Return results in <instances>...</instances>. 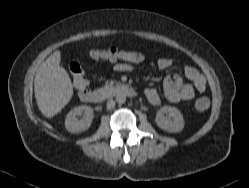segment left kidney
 <instances>
[{
	"label": "left kidney",
	"instance_id": "1",
	"mask_svg": "<svg viewBox=\"0 0 249 188\" xmlns=\"http://www.w3.org/2000/svg\"><path fill=\"white\" fill-rule=\"evenodd\" d=\"M166 114H169L172 117V120L165 117ZM155 122L159 128L171 133L180 132L185 125L183 115L181 112L171 106H164L157 111Z\"/></svg>",
	"mask_w": 249,
	"mask_h": 188
}]
</instances>
